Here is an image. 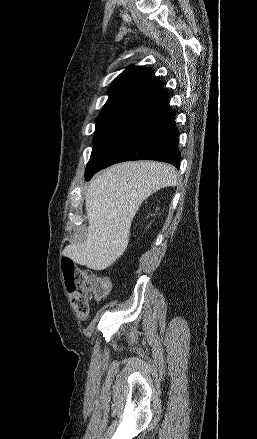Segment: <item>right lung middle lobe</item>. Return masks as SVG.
<instances>
[{"label":"right lung middle lobe","mask_w":257,"mask_h":439,"mask_svg":"<svg viewBox=\"0 0 257 439\" xmlns=\"http://www.w3.org/2000/svg\"><path fill=\"white\" fill-rule=\"evenodd\" d=\"M122 118H97L96 131L94 136V147L91 158L111 138L117 129L125 122Z\"/></svg>","instance_id":"dd1d6c3e"}]
</instances>
